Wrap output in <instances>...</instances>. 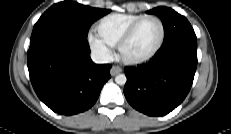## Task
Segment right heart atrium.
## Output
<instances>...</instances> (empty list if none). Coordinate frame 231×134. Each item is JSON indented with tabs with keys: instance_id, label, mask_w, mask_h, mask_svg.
<instances>
[{
	"instance_id": "d8ad5b80",
	"label": "right heart atrium",
	"mask_w": 231,
	"mask_h": 134,
	"mask_svg": "<svg viewBox=\"0 0 231 134\" xmlns=\"http://www.w3.org/2000/svg\"><path fill=\"white\" fill-rule=\"evenodd\" d=\"M87 42L91 52L100 62H108L113 57L112 46L106 43L98 34L89 32Z\"/></svg>"
}]
</instances>
